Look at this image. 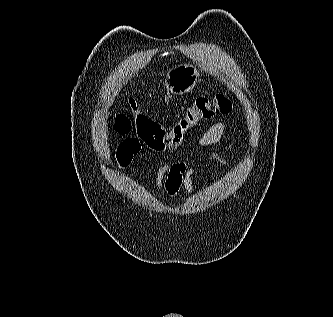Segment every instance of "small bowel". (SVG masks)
<instances>
[{
  "instance_id": "c3829d8e",
  "label": "small bowel",
  "mask_w": 333,
  "mask_h": 317,
  "mask_svg": "<svg viewBox=\"0 0 333 317\" xmlns=\"http://www.w3.org/2000/svg\"><path fill=\"white\" fill-rule=\"evenodd\" d=\"M227 122L222 120L211 125L197 140L199 147H208L217 144L224 136ZM141 142L138 138H128L122 141L116 150V163L120 168L128 167L133 158L140 152ZM211 157L217 163L227 166L228 161L217 152ZM197 172L196 167L187 161H166L159 166L155 175V186L159 193H166L171 198H177L179 192L184 190L192 195L194 188L192 178Z\"/></svg>"
}]
</instances>
